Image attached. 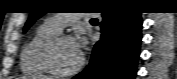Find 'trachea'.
I'll use <instances>...</instances> for the list:
<instances>
[{"mask_svg": "<svg viewBox=\"0 0 177 79\" xmlns=\"http://www.w3.org/2000/svg\"><path fill=\"white\" fill-rule=\"evenodd\" d=\"M92 21H96L97 19H95V18H93V19H91Z\"/></svg>", "mask_w": 177, "mask_h": 79, "instance_id": "obj_1", "label": "trachea"}]
</instances>
